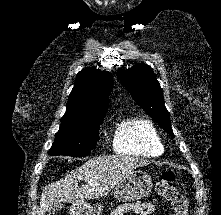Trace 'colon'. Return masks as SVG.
Segmentation results:
<instances>
[{"mask_svg":"<svg viewBox=\"0 0 221 215\" xmlns=\"http://www.w3.org/2000/svg\"><path fill=\"white\" fill-rule=\"evenodd\" d=\"M174 172L165 171L156 185L157 193L163 197L172 208V215H188V202L177 187Z\"/></svg>","mask_w":221,"mask_h":215,"instance_id":"1","label":"colon"}]
</instances>
